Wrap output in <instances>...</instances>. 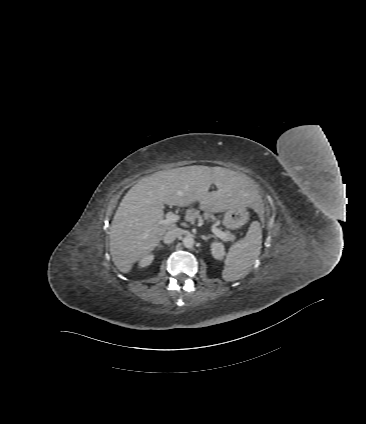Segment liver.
<instances>
[{"label": "liver", "instance_id": "6515ba94", "mask_svg": "<svg viewBox=\"0 0 366 424\" xmlns=\"http://www.w3.org/2000/svg\"><path fill=\"white\" fill-rule=\"evenodd\" d=\"M214 184L216 191H209ZM198 202L206 213H220L235 206L263 214L262 199L244 174L222 167L187 166L159 171L135 184L123 197L111 224L110 254L122 273L148 255L165 233L177 225L162 223L163 205L188 206ZM187 213L197 216L195 209Z\"/></svg>", "mask_w": 366, "mask_h": 424}]
</instances>
